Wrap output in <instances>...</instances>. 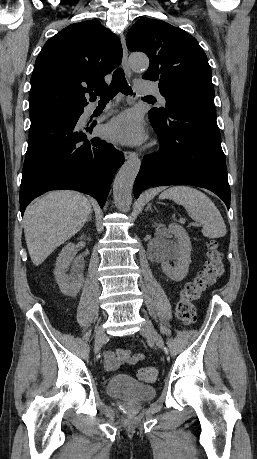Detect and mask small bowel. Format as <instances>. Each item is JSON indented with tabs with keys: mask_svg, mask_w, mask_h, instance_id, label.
Here are the masks:
<instances>
[{
	"mask_svg": "<svg viewBox=\"0 0 257 459\" xmlns=\"http://www.w3.org/2000/svg\"><path fill=\"white\" fill-rule=\"evenodd\" d=\"M144 358L145 356L142 353H136L131 349H117L115 351H107L104 354L105 365L110 370L117 369L124 362L135 364Z\"/></svg>",
	"mask_w": 257,
	"mask_h": 459,
	"instance_id": "1",
	"label": "small bowel"
}]
</instances>
